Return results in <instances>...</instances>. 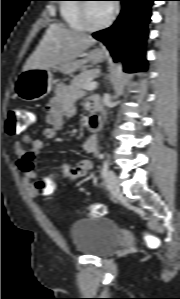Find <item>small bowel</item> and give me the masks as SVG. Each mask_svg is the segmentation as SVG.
Masks as SVG:
<instances>
[{
	"label": "small bowel",
	"mask_w": 180,
	"mask_h": 299,
	"mask_svg": "<svg viewBox=\"0 0 180 299\" xmlns=\"http://www.w3.org/2000/svg\"><path fill=\"white\" fill-rule=\"evenodd\" d=\"M78 98L79 93L72 87L62 83L56 86L54 96L46 107L47 127L43 130L46 139L55 138L62 129L63 121L74 116L75 103ZM42 148V141L33 139L29 135L15 145L18 166L23 173L24 186L29 195L33 196L38 191L37 182L54 184L61 181H73L86 176L91 170V161L81 159L72 165L61 164L58 172L39 177L35 171V165ZM82 149L86 153L96 155L98 153L97 137L91 135L86 138L82 143Z\"/></svg>",
	"instance_id": "small-bowel-1"
}]
</instances>
